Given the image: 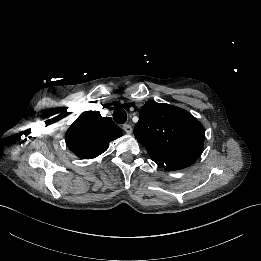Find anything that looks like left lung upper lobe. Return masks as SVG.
I'll return each instance as SVG.
<instances>
[{
    "instance_id": "obj_1",
    "label": "left lung upper lobe",
    "mask_w": 261,
    "mask_h": 261,
    "mask_svg": "<svg viewBox=\"0 0 261 261\" xmlns=\"http://www.w3.org/2000/svg\"><path fill=\"white\" fill-rule=\"evenodd\" d=\"M134 135L157 165L174 171L186 168L198 159L205 130L186 110L148 102L140 111Z\"/></svg>"
}]
</instances>
